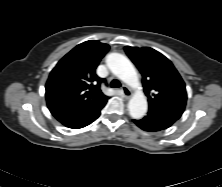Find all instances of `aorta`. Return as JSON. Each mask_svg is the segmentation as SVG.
Segmentation results:
<instances>
[{"label":"aorta","instance_id":"762f6f07","mask_svg":"<svg viewBox=\"0 0 222 187\" xmlns=\"http://www.w3.org/2000/svg\"><path fill=\"white\" fill-rule=\"evenodd\" d=\"M106 64L115 76L135 90L128 104L129 114L133 119H141L147 112L148 103L142 92L141 83L133 64L120 53L108 54Z\"/></svg>","mask_w":222,"mask_h":187}]
</instances>
